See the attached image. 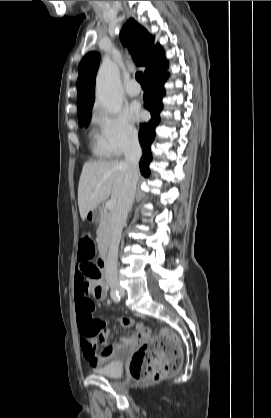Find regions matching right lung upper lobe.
Returning a JSON list of instances; mask_svg holds the SVG:
<instances>
[{
  "mask_svg": "<svg viewBox=\"0 0 271 418\" xmlns=\"http://www.w3.org/2000/svg\"><path fill=\"white\" fill-rule=\"evenodd\" d=\"M124 44L132 46L133 59L139 66H145V76L166 63L163 50L159 44L154 46V37L151 36L134 19H129L121 32ZM100 55L95 52L88 53L79 65L77 80V113L78 116L91 112L95 99V75L98 69Z\"/></svg>",
  "mask_w": 271,
  "mask_h": 418,
  "instance_id": "obj_1",
  "label": "right lung upper lobe"
}]
</instances>
